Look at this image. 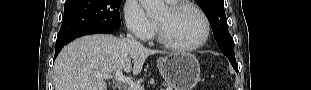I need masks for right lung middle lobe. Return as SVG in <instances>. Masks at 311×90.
I'll list each match as a JSON object with an SVG mask.
<instances>
[{
  "mask_svg": "<svg viewBox=\"0 0 311 90\" xmlns=\"http://www.w3.org/2000/svg\"><path fill=\"white\" fill-rule=\"evenodd\" d=\"M122 0H66L57 38L86 28H119Z\"/></svg>",
  "mask_w": 311,
  "mask_h": 90,
  "instance_id": "dd1d6c3e",
  "label": "right lung middle lobe"
}]
</instances>
